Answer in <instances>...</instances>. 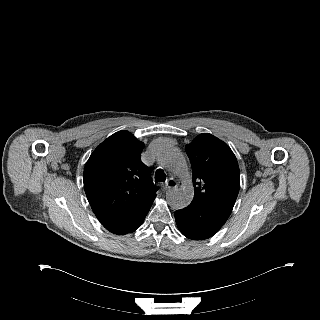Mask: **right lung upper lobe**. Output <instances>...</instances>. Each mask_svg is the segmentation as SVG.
<instances>
[{
    "mask_svg": "<svg viewBox=\"0 0 320 320\" xmlns=\"http://www.w3.org/2000/svg\"><path fill=\"white\" fill-rule=\"evenodd\" d=\"M144 143L128 131L104 140L88 159L84 189L100 222L150 208L157 187L140 161Z\"/></svg>",
    "mask_w": 320,
    "mask_h": 320,
    "instance_id": "right-lung-upper-lobe-1",
    "label": "right lung upper lobe"
}]
</instances>
